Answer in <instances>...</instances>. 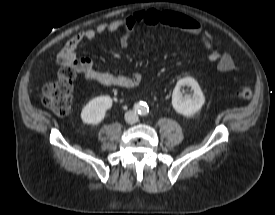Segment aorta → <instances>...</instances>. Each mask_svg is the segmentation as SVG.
Segmentation results:
<instances>
[{"label": "aorta", "instance_id": "762f6f07", "mask_svg": "<svg viewBox=\"0 0 275 215\" xmlns=\"http://www.w3.org/2000/svg\"><path fill=\"white\" fill-rule=\"evenodd\" d=\"M148 111V106L146 104H139V112L145 114Z\"/></svg>", "mask_w": 275, "mask_h": 215}]
</instances>
